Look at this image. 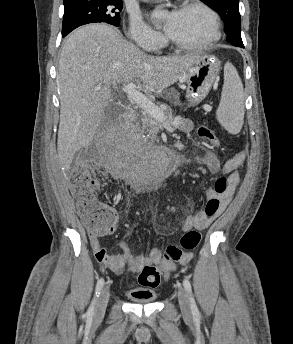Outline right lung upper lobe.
Returning a JSON list of instances; mask_svg holds the SVG:
<instances>
[{"label": "right lung upper lobe", "mask_w": 293, "mask_h": 344, "mask_svg": "<svg viewBox=\"0 0 293 344\" xmlns=\"http://www.w3.org/2000/svg\"><path fill=\"white\" fill-rule=\"evenodd\" d=\"M75 1H78V0H64V4L75 2Z\"/></svg>", "instance_id": "obj_1"}]
</instances>
